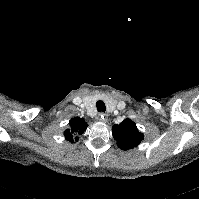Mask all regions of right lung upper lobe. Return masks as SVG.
I'll return each mask as SVG.
<instances>
[{
  "mask_svg": "<svg viewBox=\"0 0 199 199\" xmlns=\"http://www.w3.org/2000/svg\"><path fill=\"white\" fill-rule=\"evenodd\" d=\"M69 125L70 129L65 131V137L66 140H69L70 142H74V139L77 141V136L75 137V135L82 134L88 126L83 118L78 117L72 118Z\"/></svg>",
  "mask_w": 199,
  "mask_h": 199,
  "instance_id": "1",
  "label": "right lung upper lobe"
}]
</instances>
